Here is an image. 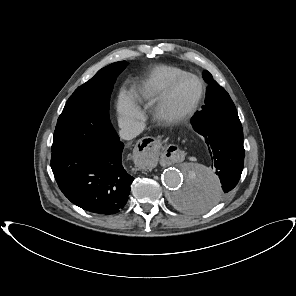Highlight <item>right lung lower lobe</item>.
<instances>
[{
	"label": "right lung lower lobe",
	"mask_w": 296,
	"mask_h": 296,
	"mask_svg": "<svg viewBox=\"0 0 296 296\" xmlns=\"http://www.w3.org/2000/svg\"><path fill=\"white\" fill-rule=\"evenodd\" d=\"M112 137L75 149L52 152L51 168L63 194L96 214H115L127 203L134 177L122 166L123 143Z\"/></svg>",
	"instance_id": "98d812e1"
}]
</instances>
